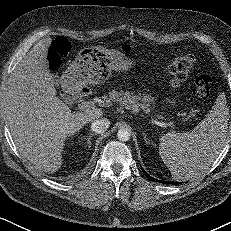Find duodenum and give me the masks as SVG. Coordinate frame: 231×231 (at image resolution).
<instances>
[{
	"label": "duodenum",
	"mask_w": 231,
	"mask_h": 231,
	"mask_svg": "<svg viewBox=\"0 0 231 231\" xmlns=\"http://www.w3.org/2000/svg\"><path fill=\"white\" fill-rule=\"evenodd\" d=\"M64 94L69 102L84 100L91 94V90L86 85H77L72 79L66 78L63 81Z\"/></svg>",
	"instance_id": "obj_1"
}]
</instances>
